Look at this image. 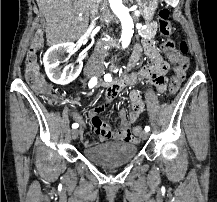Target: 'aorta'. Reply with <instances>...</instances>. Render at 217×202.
<instances>
[{
    "instance_id": "obj_1",
    "label": "aorta",
    "mask_w": 217,
    "mask_h": 202,
    "mask_svg": "<svg viewBox=\"0 0 217 202\" xmlns=\"http://www.w3.org/2000/svg\"><path fill=\"white\" fill-rule=\"evenodd\" d=\"M110 4V8L116 16H118L121 26H122V34H121V42L122 48H127L131 42V38L134 34V26L133 20L129 14L128 8L123 6L122 0H108Z\"/></svg>"
}]
</instances>
